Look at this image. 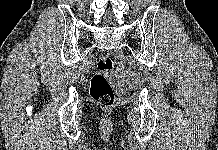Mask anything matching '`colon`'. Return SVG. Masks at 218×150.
<instances>
[{
    "instance_id": "5ec220e1",
    "label": "colon",
    "mask_w": 218,
    "mask_h": 150,
    "mask_svg": "<svg viewBox=\"0 0 218 150\" xmlns=\"http://www.w3.org/2000/svg\"><path fill=\"white\" fill-rule=\"evenodd\" d=\"M114 66L109 55H103L98 60V72L91 78L90 96L93 101L101 106L108 107L114 103V91L107 78Z\"/></svg>"
}]
</instances>
